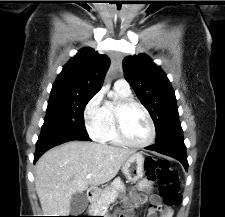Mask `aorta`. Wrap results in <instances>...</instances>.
Returning <instances> with one entry per match:
<instances>
[{"label":"aorta","mask_w":225,"mask_h":217,"mask_svg":"<svg viewBox=\"0 0 225 217\" xmlns=\"http://www.w3.org/2000/svg\"><path fill=\"white\" fill-rule=\"evenodd\" d=\"M113 95H114V94H113L112 92H110V93L108 94L109 97H113Z\"/></svg>","instance_id":"aorta-1"}]
</instances>
